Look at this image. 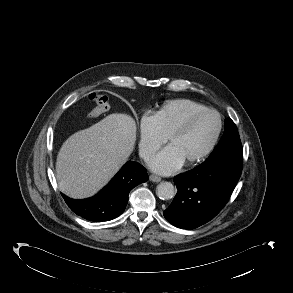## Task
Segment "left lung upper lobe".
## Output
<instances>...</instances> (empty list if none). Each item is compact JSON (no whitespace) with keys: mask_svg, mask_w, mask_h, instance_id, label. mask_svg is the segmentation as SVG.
<instances>
[{"mask_svg":"<svg viewBox=\"0 0 293 293\" xmlns=\"http://www.w3.org/2000/svg\"><path fill=\"white\" fill-rule=\"evenodd\" d=\"M237 146H242L238 130L234 122L230 118H227L225 120V133L211 155L203 163L211 164L216 162L222 155V151Z\"/></svg>","mask_w":293,"mask_h":293,"instance_id":"1","label":"left lung upper lobe"}]
</instances>
